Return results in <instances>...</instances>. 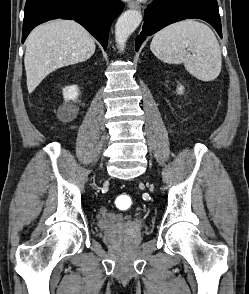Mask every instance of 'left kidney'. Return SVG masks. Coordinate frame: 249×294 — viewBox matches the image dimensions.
I'll return each instance as SVG.
<instances>
[{"instance_id": "1", "label": "left kidney", "mask_w": 249, "mask_h": 294, "mask_svg": "<svg viewBox=\"0 0 249 294\" xmlns=\"http://www.w3.org/2000/svg\"><path fill=\"white\" fill-rule=\"evenodd\" d=\"M183 87L182 86H180L179 88H178V93H181L182 94V92H183Z\"/></svg>"}]
</instances>
